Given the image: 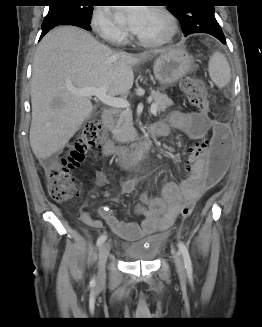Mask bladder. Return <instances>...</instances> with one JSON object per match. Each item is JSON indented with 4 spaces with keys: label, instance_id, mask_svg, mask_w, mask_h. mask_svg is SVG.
I'll use <instances>...</instances> for the list:
<instances>
[{
    "label": "bladder",
    "instance_id": "bladder-1",
    "mask_svg": "<svg viewBox=\"0 0 262 327\" xmlns=\"http://www.w3.org/2000/svg\"><path fill=\"white\" fill-rule=\"evenodd\" d=\"M166 239L165 233L153 234L125 244L122 248L123 259L127 262H153L161 252Z\"/></svg>",
    "mask_w": 262,
    "mask_h": 327
}]
</instances>
